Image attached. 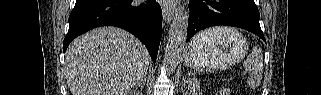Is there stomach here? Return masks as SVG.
<instances>
[{
    "label": "stomach",
    "instance_id": "stomach-1",
    "mask_svg": "<svg viewBox=\"0 0 321 95\" xmlns=\"http://www.w3.org/2000/svg\"><path fill=\"white\" fill-rule=\"evenodd\" d=\"M247 50L248 42L235 30L213 39L196 36L188 46L186 62L197 70L216 71L239 62Z\"/></svg>",
    "mask_w": 321,
    "mask_h": 95
}]
</instances>
